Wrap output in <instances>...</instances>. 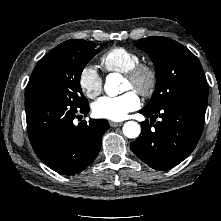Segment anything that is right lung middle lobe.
<instances>
[{
    "label": "right lung middle lobe",
    "instance_id": "obj_1",
    "mask_svg": "<svg viewBox=\"0 0 221 221\" xmlns=\"http://www.w3.org/2000/svg\"><path fill=\"white\" fill-rule=\"evenodd\" d=\"M95 47L86 40H68L58 45L35 66L25 97L51 99L72 108L88 105L80 77L86 64L97 54Z\"/></svg>",
    "mask_w": 221,
    "mask_h": 221
}]
</instances>
